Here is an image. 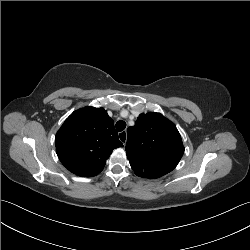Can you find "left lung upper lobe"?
<instances>
[{"label": "left lung upper lobe", "mask_w": 250, "mask_h": 250, "mask_svg": "<svg viewBox=\"0 0 250 250\" xmlns=\"http://www.w3.org/2000/svg\"><path fill=\"white\" fill-rule=\"evenodd\" d=\"M126 154L134 173L143 177L144 164L165 175L180 161L184 146L176 126L160 113L140 114L127 130Z\"/></svg>", "instance_id": "left-lung-upper-lobe-1"}]
</instances>
